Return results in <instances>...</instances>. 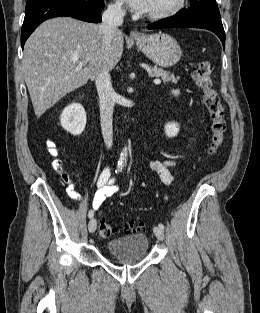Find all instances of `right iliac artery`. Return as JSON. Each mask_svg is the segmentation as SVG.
<instances>
[{
    "mask_svg": "<svg viewBox=\"0 0 260 313\" xmlns=\"http://www.w3.org/2000/svg\"><path fill=\"white\" fill-rule=\"evenodd\" d=\"M122 167H123L122 165H119V166H118V169L116 170V173L119 172V171H121V170H122ZM88 217H89V218H92V217H93V211H92V210L89 211Z\"/></svg>",
    "mask_w": 260,
    "mask_h": 313,
    "instance_id": "right-iliac-artery-1",
    "label": "right iliac artery"
}]
</instances>
